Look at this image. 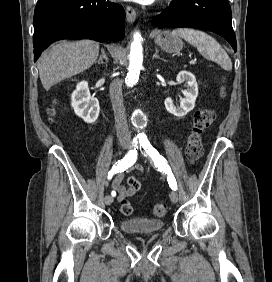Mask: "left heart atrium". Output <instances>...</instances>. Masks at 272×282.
Segmentation results:
<instances>
[{
  "mask_svg": "<svg viewBox=\"0 0 272 282\" xmlns=\"http://www.w3.org/2000/svg\"><path fill=\"white\" fill-rule=\"evenodd\" d=\"M130 1H135V2L142 3V4H149V3H151L153 0H130Z\"/></svg>",
  "mask_w": 272,
  "mask_h": 282,
  "instance_id": "obj_1",
  "label": "left heart atrium"
}]
</instances>
